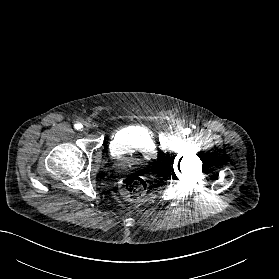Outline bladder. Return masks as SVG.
<instances>
[{
	"mask_svg": "<svg viewBox=\"0 0 279 279\" xmlns=\"http://www.w3.org/2000/svg\"><path fill=\"white\" fill-rule=\"evenodd\" d=\"M109 151L122 167L144 166L157 158L152 131L145 125H128L112 133Z\"/></svg>",
	"mask_w": 279,
	"mask_h": 279,
	"instance_id": "bladder-1",
	"label": "bladder"
}]
</instances>
